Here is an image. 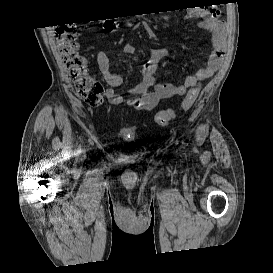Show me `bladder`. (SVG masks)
<instances>
[{"label":"bladder","instance_id":"obj_1","mask_svg":"<svg viewBox=\"0 0 273 273\" xmlns=\"http://www.w3.org/2000/svg\"><path fill=\"white\" fill-rule=\"evenodd\" d=\"M119 135L124 139H135L137 136V129L132 126H124L120 129Z\"/></svg>","mask_w":273,"mask_h":273}]
</instances>
